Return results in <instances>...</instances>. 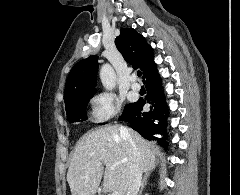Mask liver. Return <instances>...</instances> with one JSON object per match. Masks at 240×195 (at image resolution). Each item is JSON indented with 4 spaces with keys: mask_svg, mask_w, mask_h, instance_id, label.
Here are the masks:
<instances>
[{
    "mask_svg": "<svg viewBox=\"0 0 240 195\" xmlns=\"http://www.w3.org/2000/svg\"><path fill=\"white\" fill-rule=\"evenodd\" d=\"M120 129L121 125H104L90 129L78 141L67 171L72 195H95L102 175L103 191H119L120 195H126L130 173L129 147ZM127 129L138 147L142 171H151L159 147L143 139L131 127Z\"/></svg>",
    "mask_w": 240,
    "mask_h": 195,
    "instance_id": "1",
    "label": "liver"
}]
</instances>
